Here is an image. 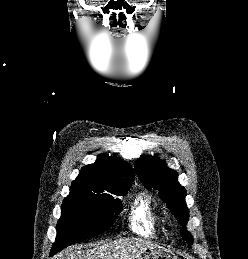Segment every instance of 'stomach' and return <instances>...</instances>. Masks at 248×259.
Returning <instances> with one entry per match:
<instances>
[{"mask_svg": "<svg viewBox=\"0 0 248 259\" xmlns=\"http://www.w3.org/2000/svg\"><path fill=\"white\" fill-rule=\"evenodd\" d=\"M136 259H177L171 251L154 246L143 251Z\"/></svg>", "mask_w": 248, "mask_h": 259, "instance_id": "0dacf381", "label": "stomach"}]
</instances>
